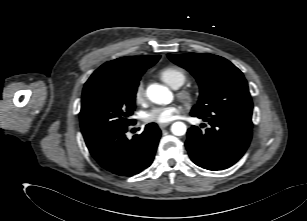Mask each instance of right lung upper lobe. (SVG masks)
<instances>
[{
  "mask_svg": "<svg viewBox=\"0 0 307 221\" xmlns=\"http://www.w3.org/2000/svg\"><path fill=\"white\" fill-rule=\"evenodd\" d=\"M160 56H127L118 58L104 63L100 66L89 79L101 76H116V75H129L138 76L142 75L145 70L153 66Z\"/></svg>",
  "mask_w": 307,
  "mask_h": 221,
  "instance_id": "right-lung-upper-lobe-1",
  "label": "right lung upper lobe"
}]
</instances>
